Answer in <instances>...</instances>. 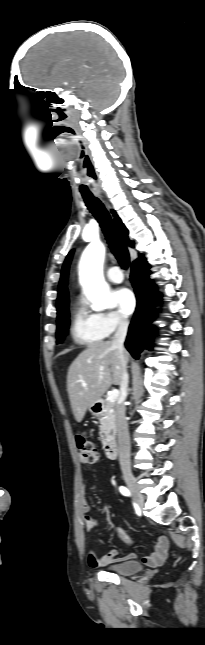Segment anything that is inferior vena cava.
<instances>
[{
    "instance_id": "inferior-vena-cava-1",
    "label": "inferior vena cava",
    "mask_w": 205,
    "mask_h": 645,
    "mask_svg": "<svg viewBox=\"0 0 205 645\" xmlns=\"http://www.w3.org/2000/svg\"><path fill=\"white\" fill-rule=\"evenodd\" d=\"M129 322L127 319L120 317L118 328L113 336L112 345L115 346L122 358V377L120 383L121 395L119 398V403L116 406L115 410V421L117 428L118 444H119V462L122 471H130V438L128 432V425L125 417V405L124 401L127 396V388L129 376L127 372V361L124 358V341L127 334Z\"/></svg>"
}]
</instances>
